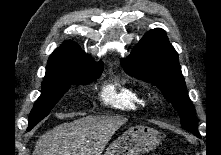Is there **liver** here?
I'll return each mask as SVG.
<instances>
[{"instance_id":"liver-1","label":"liver","mask_w":221,"mask_h":155,"mask_svg":"<svg viewBox=\"0 0 221 155\" xmlns=\"http://www.w3.org/2000/svg\"><path fill=\"white\" fill-rule=\"evenodd\" d=\"M127 121L120 116H86L60 124L39 138L33 155H101Z\"/></svg>"}]
</instances>
